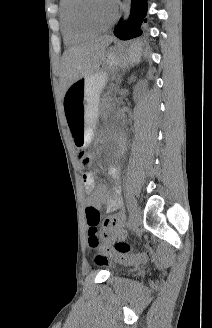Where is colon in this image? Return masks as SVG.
<instances>
[{"label":"colon","mask_w":212,"mask_h":328,"mask_svg":"<svg viewBox=\"0 0 212 328\" xmlns=\"http://www.w3.org/2000/svg\"><path fill=\"white\" fill-rule=\"evenodd\" d=\"M78 159L80 162V169L81 170H92L93 164L92 157L90 153L81 152L78 154ZM86 217L88 222V245L91 249L95 250H104V246L101 243L100 235L98 231V223L100 219L99 211L92 207L88 206L86 208ZM114 252L116 255V258L120 261H127L132 263H137L144 260L143 256L140 255H131V246L126 242H117L114 245ZM95 261L98 265H103L107 263V258L104 254H98L95 258Z\"/></svg>","instance_id":"obj_1"}]
</instances>
